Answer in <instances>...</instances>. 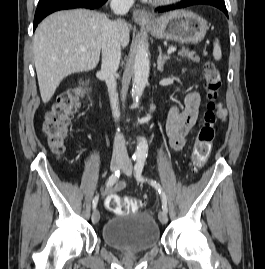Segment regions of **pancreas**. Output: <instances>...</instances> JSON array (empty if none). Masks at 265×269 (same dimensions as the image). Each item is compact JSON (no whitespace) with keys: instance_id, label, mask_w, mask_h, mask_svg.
I'll return each mask as SVG.
<instances>
[{"instance_id":"cf45deb5","label":"pancreas","mask_w":265,"mask_h":269,"mask_svg":"<svg viewBox=\"0 0 265 269\" xmlns=\"http://www.w3.org/2000/svg\"><path fill=\"white\" fill-rule=\"evenodd\" d=\"M180 56L188 58L193 62H199V56L195 55L194 52L189 51L188 49L183 48L179 53Z\"/></svg>"}]
</instances>
